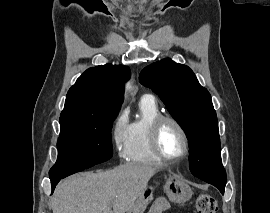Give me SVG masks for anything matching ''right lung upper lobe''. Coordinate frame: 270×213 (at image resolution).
Instances as JSON below:
<instances>
[{"label": "right lung upper lobe", "instance_id": "obj_1", "mask_svg": "<svg viewBox=\"0 0 270 213\" xmlns=\"http://www.w3.org/2000/svg\"><path fill=\"white\" fill-rule=\"evenodd\" d=\"M130 69L105 64L87 69L69 89L60 117L118 113Z\"/></svg>", "mask_w": 270, "mask_h": 213}]
</instances>
